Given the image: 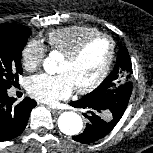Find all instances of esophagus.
<instances>
[{
  "mask_svg": "<svg viewBox=\"0 0 153 153\" xmlns=\"http://www.w3.org/2000/svg\"><path fill=\"white\" fill-rule=\"evenodd\" d=\"M51 112L53 114H60L62 112V110H59V109H51Z\"/></svg>",
  "mask_w": 153,
  "mask_h": 153,
  "instance_id": "obj_1",
  "label": "esophagus"
}]
</instances>
